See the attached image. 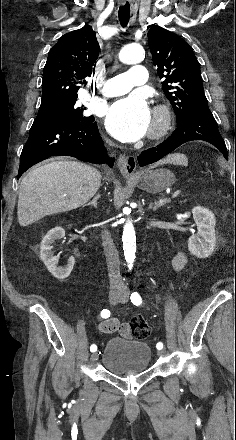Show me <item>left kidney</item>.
<instances>
[{
  "label": "left kidney",
  "mask_w": 236,
  "mask_h": 440,
  "mask_svg": "<svg viewBox=\"0 0 236 440\" xmlns=\"http://www.w3.org/2000/svg\"><path fill=\"white\" fill-rule=\"evenodd\" d=\"M197 234L188 239V250L198 258L209 257L216 246L215 216L209 209L196 206L192 209Z\"/></svg>",
  "instance_id": "1"
}]
</instances>
